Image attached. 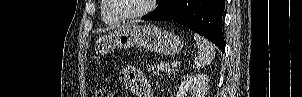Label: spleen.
I'll return each mask as SVG.
<instances>
[{
    "mask_svg": "<svg viewBox=\"0 0 302 97\" xmlns=\"http://www.w3.org/2000/svg\"><path fill=\"white\" fill-rule=\"evenodd\" d=\"M194 40L198 47V53L193 67L196 69H201L210 64V62L214 59L215 49L208 40L199 36L198 34H194Z\"/></svg>",
    "mask_w": 302,
    "mask_h": 97,
    "instance_id": "3e777b00",
    "label": "spleen"
}]
</instances>
